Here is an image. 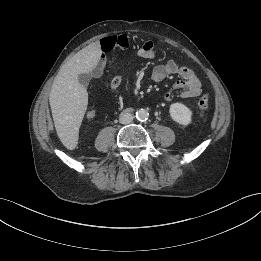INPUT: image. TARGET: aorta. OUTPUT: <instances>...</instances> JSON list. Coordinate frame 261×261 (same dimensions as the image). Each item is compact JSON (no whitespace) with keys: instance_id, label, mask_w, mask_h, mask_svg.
<instances>
[{"instance_id":"1","label":"aorta","mask_w":261,"mask_h":261,"mask_svg":"<svg viewBox=\"0 0 261 261\" xmlns=\"http://www.w3.org/2000/svg\"><path fill=\"white\" fill-rule=\"evenodd\" d=\"M149 117V113L147 110L145 109H139L137 112H136V118L140 121H144V120H147Z\"/></svg>"}]
</instances>
